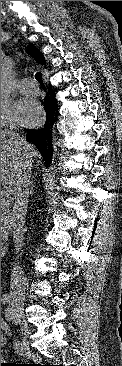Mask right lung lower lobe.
Segmentation results:
<instances>
[{
  "mask_svg": "<svg viewBox=\"0 0 122 366\" xmlns=\"http://www.w3.org/2000/svg\"><path fill=\"white\" fill-rule=\"evenodd\" d=\"M44 108L46 111V122L44 127L38 130H27V139L36 145L43 156V160L48 166L51 163L53 155L52 135L53 126L57 121L58 105L55 99V89L50 85L47 95L44 99Z\"/></svg>",
  "mask_w": 122,
  "mask_h": 366,
  "instance_id": "1",
  "label": "right lung lower lobe"
}]
</instances>
